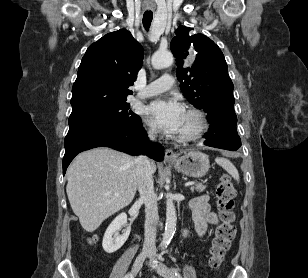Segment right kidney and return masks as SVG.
<instances>
[{"label": "right kidney", "instance_id": "ca27d5eb", "mask_svg": "<svg viewBox=\"0 0 308 278\" xmlns=\"http://www.w3.org/2000/svg\"><path fill=\"white\" fill-rule=\"evenodd\" d=\"M127 225V215L121 213L108 226L102 241V246L105 252L114 253L120 249L130 234V226H127L122 235H119L121 227Z\"/></svg>", "mask_w": 308, "mask_h": 278}]
</instances>
